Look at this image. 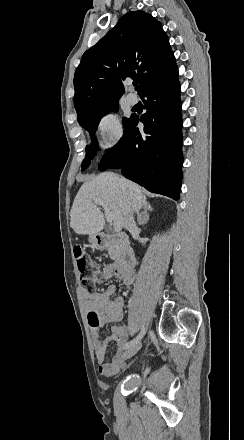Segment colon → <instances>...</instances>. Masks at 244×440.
<instances>
[{
  "instance_id": "1",
  "label": "colon",
  "mask_w": 244,
  "mask_h": 440,
  "mask_svg": "<svg viewBox=\"0 0 244 440\" xmlns=\"http://www.w3.org/2000/svg\"><path fill=\"white\" fill-rule=\"evenodd\" d=\"M74 254L77 259V265H78V270L80 273L82 284L85 287V289H87L88 292L91 293L95 289L97 282L100 280L98 274L99 264L97 261H92L90 263L89 256L86 250L79 245L75 246ZM90 264H91V269H90ZM88 316L90 319H97L99 313L97 310H90Z\"/></svg>"
}]
</instances>
